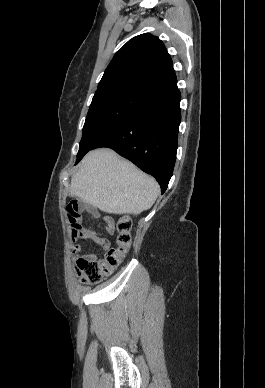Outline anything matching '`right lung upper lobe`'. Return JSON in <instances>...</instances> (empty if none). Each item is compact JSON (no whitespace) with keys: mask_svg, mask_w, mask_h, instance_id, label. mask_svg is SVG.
Segmentation results:
<instances>
[{"mask_svg":"<svg viewBox=\"0 0 265 388\" xmlns=\"http://www.w3.org/2000/svg\"><path fill=\"white\" fill-rule=\"evenodd\" d=\"M177 85L170 55L149 34L130 39L113 57L96 92H127L145 99Z\"/></svg>","mask_w":265,"mask_h":388,"instance_id":"cb5924a9","label":"right lung upper lobe"}]
</instances>
